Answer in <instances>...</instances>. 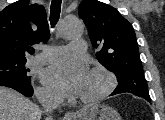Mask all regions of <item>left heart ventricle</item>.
<instances>
[{"label": "left heart ventricle", "mask_w": 165, "mask_h": 120, "mask_svg": "<svg viewBox=\"0 0 165 120\" xmlns=\"http://www.w3.org/2000/svg\"><path fill=\"white\" fill-rule=\"evenodd\" d=\"M104 77L89 72L87 79L82 87L79 97H90L98 94L105 86Z\"/></svg>", "instance_id": "b2bd125f"}]
</instances>
